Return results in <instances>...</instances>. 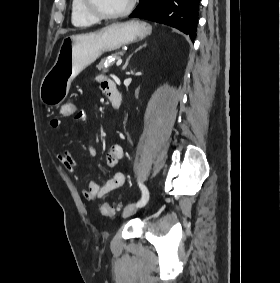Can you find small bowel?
Instances as JSON below:
<instances>
[{
    "label": "small bowel",
    "mask_w": 280,
    "mask_h": 283,
    "mask_svg": "<svg viewBox=\"0 0 280 283\" xmlns=\"http://www.w3.org/2000/svg\"><path fill=\"white\" fill-rule=\"evenodd\" d=\"M108 80H101L100 87L102 91L106 94ZM69 103V102H68ZM61 112V111H60ZM74 120L78 123L84 124L88 121V115L84 110L76 112V116H72ZM52 129H58L61 125V120L59 118H52L49 122ZM96 151L93 145L88 146V154L93 157ZM124 152L122 146L115 144L112 145L107 153L106 162L107 165L111 168L117 166L120 160L123 158ZM59 162L66 169L68 173L77 178L76 169L77 162L71 156L68 151L60 153L57 155ZM125 177L122 173H116L112 178L108 179L104 183H100L96 180H90L87 187L83 190V195L86 200L93 202L97 199H100L112 192L113 190L119 188L124 183Z\"/></svg>",
    "instance_id": "obj_1"
}]
</instances>
